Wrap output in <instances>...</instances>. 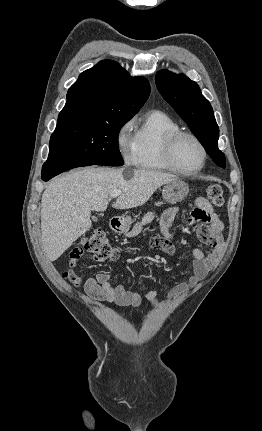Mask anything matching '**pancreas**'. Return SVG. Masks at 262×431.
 Returning a JSON list of instances; mask_svg holds the SVG:
<instances>
[{
  "label": "pancreas",
  "instance_id": "pancreas-1",
  "mask_svg": "<svg viewBox=\"0 0 262 431\" xmlns=\"http://www.w3.org/2000/svg\"><path fill=\"white\" fill-rule=\"evenodd\" d=\"M154 217H155V214L153 212H148L147 214H145L144 217L142 218V221L134 225L132 231L128 234V236L133 237L138 235L141 232L143 226L152 222Z\"/></svg>",
  "mask_w": 262,
  "mask_h": 431
}]
</instances>
